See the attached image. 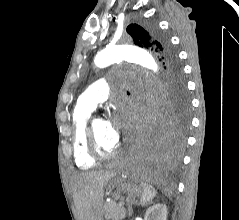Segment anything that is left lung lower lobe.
<instances>
[{"label": "left lung lower lobe", "mask_w": 239, "mask_h": 220, "mask_svg": "<svg viewBox=\"0 0 239 220\" xmlns=\"http://www.w3.org/2000/svg\"><path fill=\"white\" fill-rule=\"evenodd\" d=\"M183 143V130H178L166 115L136 157V168L144 174L163 173L178 163Z\"/></svg>", "instance_id": "obj_1"}]
</instances>
